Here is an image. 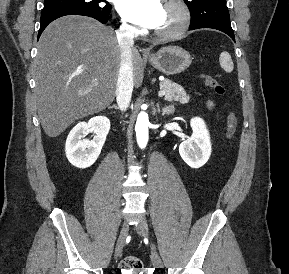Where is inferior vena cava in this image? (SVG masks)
I'll return each mask as SVG.
<instances>
[{
	"label": "inferior vena cava",
	"mask_w": 289,
	"mask_h": 274,
	"mask_svg": "<svg viewBox=\"0 0 289 274\" xmlns=\"http://www.w3.org/2000/svg\"><path fill=\"white\" fill-rule=\"evenodd\" d=\"M134 28L122 25L116 31L121 51V62L116 86V100L121 111H125L130 103L133 91L132 47L134 45Z\"/></svg>",
	"instance_id": "obj_1"
}]
</instances>
